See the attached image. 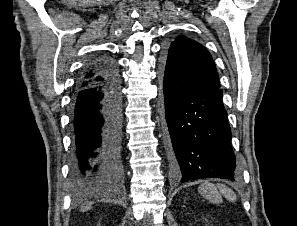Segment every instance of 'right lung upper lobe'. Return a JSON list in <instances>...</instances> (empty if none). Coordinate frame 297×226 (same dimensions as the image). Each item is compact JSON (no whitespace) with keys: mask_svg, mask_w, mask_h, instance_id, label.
<instances>
[{"mask_svg":"<svg viewBox=\"0 0 297 226\" xmlns=\"http://www.w3.org/2000/svg\"><path fill=\"white\" fill-rule=\"evenodd\" d=\"M98 75V71L96 70L95 64L91 65L89 69L82 75L78 87H86L93 81L101 80Z\"/></svg>","mask_w":297,"mask_h":226,"instance_id":"cb5924a9","label":"right lung upper lobe"}]
</instances>
